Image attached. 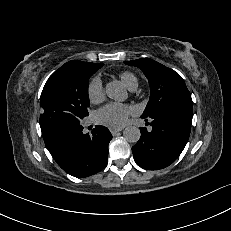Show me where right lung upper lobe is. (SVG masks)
Returning a JSON list of instances; mask_svg holds the SVG:
<instances>
[{"label":"right lung upper lobe","mask_w":231,"mask_h":231,"mask_svg":"<svg viewBox=\"0 0 231 231\" xmlns=\"http://www.w3.org/2000/svg\"><path fill=\"white\" fill-rule=\"evenodd\" d=\"M91 64H93V63L82 62V61H78V60H72V61L65 63V65H91ZM93 65H95V64H93Z\"/></svg>","instance_id":"right-lung-upper-lobe-1"}]
</instances>
